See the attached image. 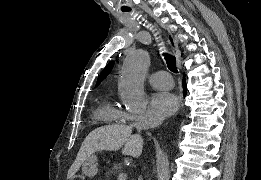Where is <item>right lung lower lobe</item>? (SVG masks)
Wrapping results in <instances>:
<instances>
[{
	"label": "right lung lower lobe",
	"instance_id": "right-lung-lower-lobe-1",
	"mask_svg": "<svg viewBox=\"0 0 261 180\" xmlns=\"http://www.w3.org/2000/svg\"><path fill=\"white\" fill-rule=\"evenodd\" d=\"M183 94L185 95L186 94V91H187V87H186V82H185V79L183 78Z\"/></svg>",
	"mask_w": 261,
	"mask_h": 180
}]
</instances>
